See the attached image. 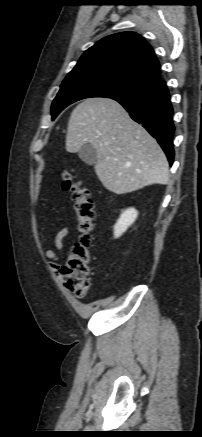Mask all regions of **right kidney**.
Returning a JSON list of instances; mask_svg holds the SVG:
<instances>
[{
	"instance_id": "obj_1",
	"label": "right kidney",
	"mask_w": 202,
	"mask_h": 437,
	"mask_svg": "<svg viewBox=\"0 0 202 437\" xmlns=\"http://www.w3.org/2000/svg\"><path fill=\"white\" fill-rule=\"evenodd\" d=\"M138 216V212L134 208H128L122 212L117 223L114 225V237L118 238L126 232Z\"/></svg>"
}]
</instances>
